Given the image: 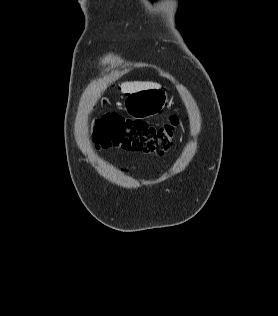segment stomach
I'll return each mask as SVG.
<instances>
[{
  "label": "stomach",
  "mask_w": 278,
  "mask_h": 316,
  "mask_svg": "<svg viewBox=\"0 0 278 316\" xmlns=\"http://www.w3.org/2000/svg\"><path fill=\"white\" fill-rule=\"evenodd\" d=\"M168 102L167 92L150 88L125 94L123 108L133 119H145L157 115Z\"/></svg>",
  "instance_id": "1"
}]
</instances>
